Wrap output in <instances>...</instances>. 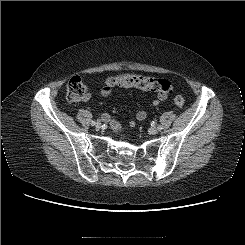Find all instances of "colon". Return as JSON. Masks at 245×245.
Returning a JSON list of instances; mask_svg holds the SVG:
<instances>
[{
  "instance_id": "colon-1",
  "label": "colon",
  "mask_w": 245,
  "mask_h": 245,
  "mask_svg": "<svg viewBox=\"0 0 245 245\" xmlns=\"http://www.w3.org/2000/svg\"><path fill=\"white\" fill-rule=\"evenodd\" d=\"M105 87L110 90L113 88H138L164 95H167L172 88L168 80L132 73L109 77L105 81ZM86 92V85L79 76L72 77L66 85V97L71 102L81 101L85 97ZM184 103L185 100L183 97L176 96L174 98V104L177 107H182Z\"/></svg>"
}]
</instances>
